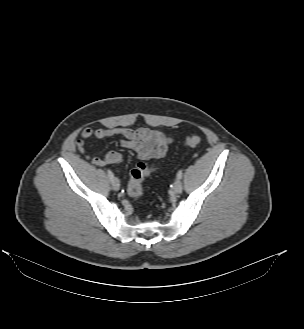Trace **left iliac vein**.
I'll use <instances>...</instances> for the list:
<instances>
[{"mask_svg": "<svg viewBox=\"0 0 304 329\" xmlns=\"http://www.w3.org/2000/svg\"><path fill=\"white\" fill-rule=\"evenodd\" d=\"M183 190V185H182V182L180 181V179H177L174 183V186H173V191L176 193V194H180Z\"/></svg>", "mask_w": 304, "mask_h": 329, "instance_id": "1", "label": "left iliac vein"}]
</instances>
